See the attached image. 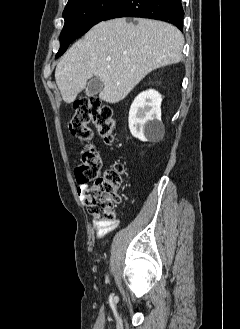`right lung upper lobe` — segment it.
<instances>
[{"instance_id": "obj_1", "label": "right lung upper lobe", "mask_w": 240, "mask_h": 329, "mask_svg": "<svg viewBox=\"0 0 240 329\" xmlns=\"http://www.w3.org/2000/svg\"><path fill=\"white\" fill-rule=\"evenodd\" d=\"M72 1H74V0H68V3H71Z\"/></svg>"}]
</instances>
